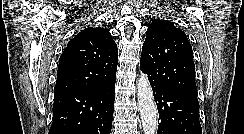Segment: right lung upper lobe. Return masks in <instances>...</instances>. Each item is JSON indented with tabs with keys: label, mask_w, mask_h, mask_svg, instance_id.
<instances>
[{
	"label": "right lung upper lobe",
	"mask_w": 244,
	"mask_h": 134,
	"mask_svg": "<svg viewBox=\"0 0 244 134\" xmlns=\"http://www.w3.org/2000/svg\"><path fill=\"white\" fill-rule=\"evenodd\" d=\"M117 63V45L108 30H82L60 56L54 95L110 81L116 77Z\"/></svg>",
	"instance_id": "cb5924a9"
}]
</instances>
